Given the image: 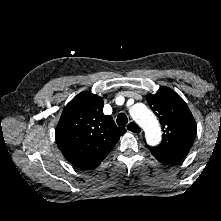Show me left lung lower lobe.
<instances>
[{
  "label": "left lung lower lobe",
  "instance_id": "left-lung-lower-lobe-1",
  "mask_svg": "<svg viewBox=\"0 0 221 221\" xmlns=\"http://www.w3.org/2000/svg\"><path fill=\"white\" fill-rule=\"evenodd\" d=\"M152 155L163 164H173L182 160L188 154L191 146L183 145L174 149H159L148 147Z\"/></svg>",
  "mask_w": 221,
  "mask_h": 221
}]
</instances>
